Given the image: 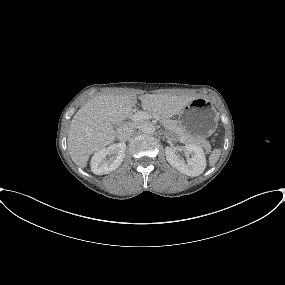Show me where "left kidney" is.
<instances>
[{"label": "left kidney", "instance_id": "obj_1", "mask_svg": "<svg viewBox=\"0 0 285 285\" xmlns=\"http://www.w3.org/2000/svg\"><path fill=\"white\" fill-rule=\"evenodd\" d=\"M185 151L191 154L185 162L180 158L175 149L166 147L165 154L168 163L181 173L188 176H199L206 168V157L203 149L196 144H186Z\"/></svg>", "mask_w": 285, "mask_h": 285}]
</instances>
